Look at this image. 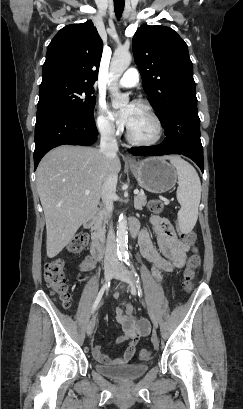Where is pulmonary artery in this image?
Segmentation results:
<instances>
[{
  "instance_id": "obj_1",
  "label": "pulmonary artery",
  "mask_w": 243,
  "mask_h": 409,
  "mask_svg": "<svg viewBox=\"0 0 243 409\" xmlns=\"http://www.w3.org/2000/svg\"><path fill=\"white\" fill-rule=\"evenodd\" d=\"M139 82V72L135 68H129L118 81V84L125 88H131Z\"/></svg>"
}]
</instances>
